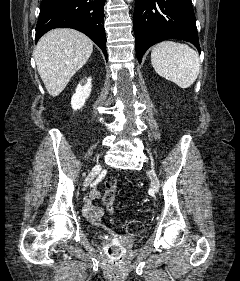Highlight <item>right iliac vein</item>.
I'll return each instance as SVG.
<instances>
[{"label": "right iliac vein", "mask_w": 240, "mask_h": 281, "mask_svg": "<svg viewBox=\"0 0 240 281\" xmlns=\"http://www.w3.org/2000/svg\"><path fill=\"white\" fill-rule=\"evenodd\" d=\"M101 166L100 165H96L93 170L90 172V174L87 176L85 183H84V187H87L92 180L95 178V176L98 174L99 170H100Z\"/></svg>", "instance_id": "63e3f726"}]
</instances>
